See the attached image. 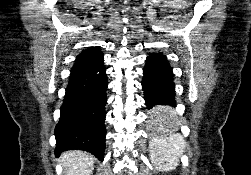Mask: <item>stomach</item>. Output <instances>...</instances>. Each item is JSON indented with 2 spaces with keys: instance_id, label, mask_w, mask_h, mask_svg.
Listing matches in <instances>:
<instances>
[{
  "instance_id": "stomach-1",
  "label": "stomach",
  "mask_w": 251,
  "mask_h": 175,
  "mask_svg": "<svg viewBox=\"0 0 251 175\" xmlns=\"http://www.w3.org/2000/svg\"><path fill=\"white\" fill-rule=\"evenodd\" d=\"M148 119H166V114H148ZM176 122V119H173ZM172 123H147V128H172ZM156 134H178V129H156Z\"/></svg>"
}]
</instances>
